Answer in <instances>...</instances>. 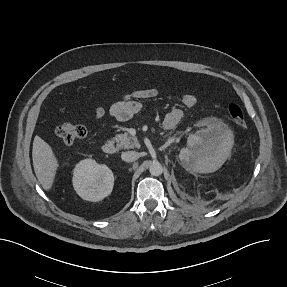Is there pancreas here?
<instances>
[{
	"label": "pancreas",
	"mask_w": 287,
	"mask_h": 287,
	"mask_svg": "<svg viewBox=\"0 0 287 287\" xmlns=\"http://www.w3.org/2000/svg\"><path fill=\"white\" fill-rule=\"evenodd\" d=\"M115 141L117 143V147L120 149L140 148L137 138L129 135L128 133L116 135Z\"/></svg>",
	"instance_id": "1"
}]
</instances>
